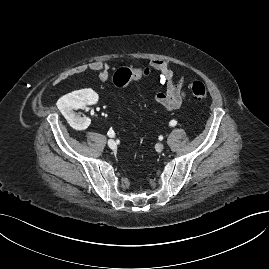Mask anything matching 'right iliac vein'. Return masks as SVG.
<instances>
[{"instance_id": "right-iliac-vein-1", "label": "right iliac vein", "mask_w": 269, "mask_h": 269, "mask_svg": "<svg viewBox=\"0 0 269 269\" xmlns=\"http://www.w3.org/2000/svg\"><path fill=\"white\" fill-rule=\"evenodd\" d=\"M108 146H109L111 149H116V147H117L115 141L112 140V139L108 140Z\"/></svg>"}]
</instances>
